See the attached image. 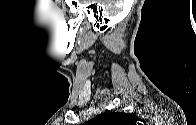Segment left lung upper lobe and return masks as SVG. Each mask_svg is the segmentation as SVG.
I'll return each mask as SVG.
<instances>
[{"label":"left lung upper lobe","instance_id":"5c2ea615","mask_svg":"<svg viewBox=\"0 0 196 125\" xmlns=\"http://www.w3.org/2000/svg\"><path fill=\"white\" fill-rule=\"evenodd\" d=\"M93 125H134L133 118L124 112H106L90 121Z\"/></svg>","mask_w":196,"mask_h":125}]
</instances>
